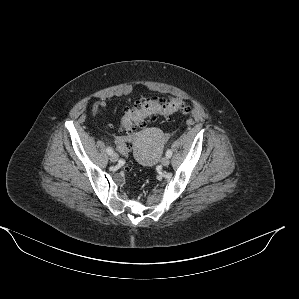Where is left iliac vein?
<instances>
[{"mask_svg":"<svg viewBox=\"0 0 299 299\" xmlns=\"http://www.w3.org/2000/svg\"><path fill=\"white\" fill-rule=\"evenodd\" d=\"M161 164L163 166H168L170 164V159L167 156L163 157L162 160H161Z\"/></svg>","mask_w":299,"mask_h":299,"instance_id":"obj_1","label":"left iliac vein"}]
</instances>
